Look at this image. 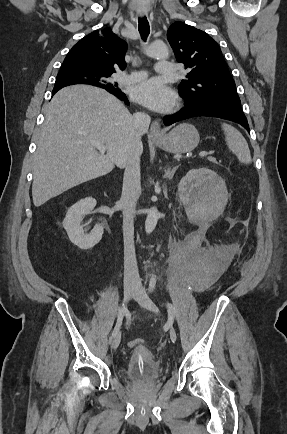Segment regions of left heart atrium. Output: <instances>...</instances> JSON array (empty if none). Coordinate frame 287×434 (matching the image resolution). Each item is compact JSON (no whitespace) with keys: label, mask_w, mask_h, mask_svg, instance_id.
Returning a JSON list of instances; mask_svg holds the SVG:
<instances>
[{"label":"left heart atrium","mask_w":287,"mask_h":434,"mask_svg":"<svg viewBox=\"0 0 287 434\" xmlns=\"http://www.w3.org/2000/svg\"><path fill=\"white\" fill-rule=\"evenodd\" d=\"M133 99L154 111H167L175 103L174 92L158 78L146 80L133 88Z\"/></svg>","instance_id":"1"}]
</instances>
